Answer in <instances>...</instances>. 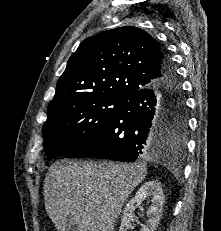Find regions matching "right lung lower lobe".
<instances>
[{
	"mask_svg": "<svg viewBox=\"0 0 221 231\" xmlns=\"http://www.w3.org/2000/svg\"><path fill=\"white\" fill-rule=\"evenodd\" d=\"M162 79L125 99L98 131L64 155L135 161L160 154L170 139L164 136V113L169 104L184 101L175 67L163 50Z\"/></svg>",
	"mask_w": 221,
	"mask_h": 231,
	"instance_id": "98d812e1",
	"label": "right lung lower lobe"
}]
</instances>
